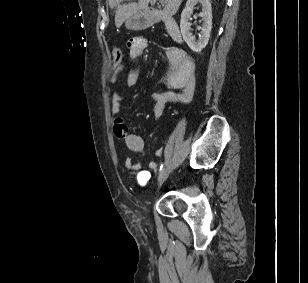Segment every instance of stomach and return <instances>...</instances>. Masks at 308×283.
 I'll list each match as a JSON object with an SVG mask.
<instances>
[{
	"mask_svg": "<svg viewBox=\"0 0 308 283\" xmlns=\"http://www.w3.org/2000/svg\"><path fill=\"white\" fill-rule=\"evenodd\" d=\"M151 25V19L147 13L141 12L128 17L125 27L129 30H143Z\"/></svg>",
	"mask_w": 308,
	"mask_h": 283,
	"instance_id": "obj_1",
	"label": "stomach"
}]
</instances>
